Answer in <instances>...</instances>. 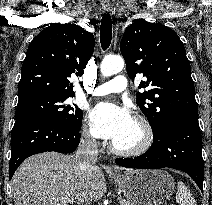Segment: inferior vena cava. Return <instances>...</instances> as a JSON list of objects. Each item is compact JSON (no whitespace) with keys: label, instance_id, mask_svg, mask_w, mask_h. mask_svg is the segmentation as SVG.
<instances>
[{"label":"inferior vena cava","instance_id":"602c4592","mask_svg":"<svg viewBox=\"0 0 212 205\" xmlns=\"http://www.w3.org/2000/svg\"><path fill=\"white\" fill-rule=\"evenodd\" d=\"M98 157V143L92 138L90 135H85L78 146L75 160L77 161V165L81 171V173H85L86 170L91 169Z\"/></svg>","mask_w":212,"mask_h":205}]
</instances>
